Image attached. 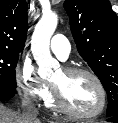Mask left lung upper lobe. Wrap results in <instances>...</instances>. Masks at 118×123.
Here are the masks:
<instances>
[{
	"label": "left lung upper lobe",
	"instance_id": "left-lung-upper-lobe-1",
	"mask_svg": "<svg viewBox=\"0 0 118 123\" xmlns=\"http://www.w3.org/2000/svg\"><path fill=\"white\" fill-rule=\"evenodd\" d=\"M77 49L103 84L107 116L118 115V17L108 0H65Z\"/></svg>",
	"mask_w": 118,
	"mask_h": 123
}]
</instances>
